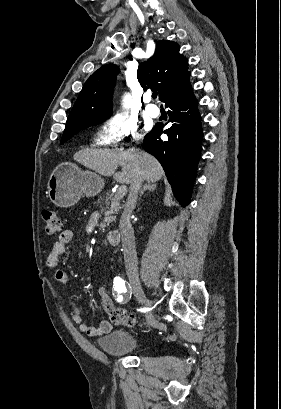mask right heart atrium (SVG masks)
<instances>
[{"label": "right heart atrium", "instance_id": "1", "mask_svg": "<svg viewBox=\"0 0 281 409\" xmlns=\"http://www.w3.org/2000/svg\"><path fill=\"white\" fill-rule=\"evenodd\" d=\"M142 136L131 114L118 115L117 119L105 120L97 133L100 143L113 146L126 144L129 140L138 142Z\"/></svg>", "mask_w": 281, "mask_h": 409}]
</instances>
